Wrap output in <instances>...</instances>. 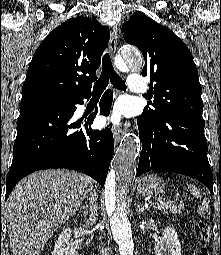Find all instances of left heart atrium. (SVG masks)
<instances>
[{
    "mask_svg": "<svg viewBox=\"0 0 221 255\" xmlns=\"http://www.w3.org/2000/svg\"><path fill=\"white\" fill-rule=\"evenodd\" d=\"M122 114V108L119 105H116L110 115V121L112 123H118Z\"/></svg>",
    "mask_w": 221,
    "mask_h": 255,
    "instance_id": "left-heart-atrium-1",
    "label": "left heart atrium"
}]
</instances>
